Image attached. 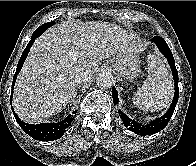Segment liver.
Here are the masks:
<instances>
[{
	"label": "liver",
	"mask_w": 196,
	"mask_h": 166,
	"mask_svg": "<svg viewBox=\"0 0 196 166\" xmlns=\"http://www.w3.org/2000/svg\"><path fill=\"white\" fill-rule=\"evenodd\" d=\"M141 51L134 35L109 22H66L38 37L14 86L19 118L37 124L61 112L75 95L77 70L93 79L102 60Z\"/></svg>",
	"instance_id": "liver-1"
}]
</instances>
